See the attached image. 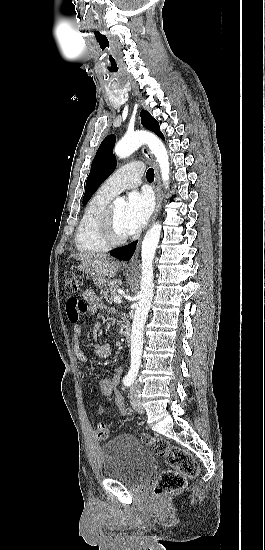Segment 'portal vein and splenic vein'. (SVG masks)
I'll return each instance as SVG.
<instances>
[{
    "mask_svg": "<svg viewBox=\"0 0 265 550\" xmlns=\"http://www.w3.org/2000/svg\"><path fill=\"white\" fill-rule=\"evenodd\" d=\"M113 301H114V303H121V302H122V299H121L120 296H115V297L113 298Z\"/></svg>",
    "mask_w": 265,
    "mask_h": 550,
    "instance_id": "1",
    "label": "portal vein and splenic vein"
}]
</instances>
